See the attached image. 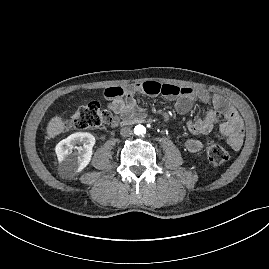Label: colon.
<instances>
[{"mask_svg":"<svg viewBox=\"0 0 269 269\" xmlns=\"http://www.w3.org/2000/svg\"><path fill=\"white\" fill-rule=\"evenodd\" d=\"M112 121V115L98 102L81 105L65 120L68 129L85 130L99 128ZM205 150L209 161L214 165H223L229 159V152L221 145L208 138L205 141Z\"/></svg>","mask_w":269,"mask_h":269,"instance_id":"5ec220e1","label":"colon"}]
</instances>
